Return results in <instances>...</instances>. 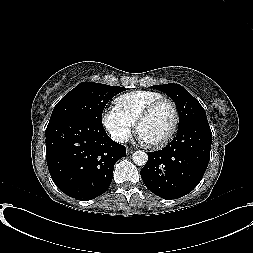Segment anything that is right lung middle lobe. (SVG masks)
Here are the masks:
<instances>
[{
	"mask_svg": "<svg viewBox=\"0 0 253 253\" xmlns=\"http://www.w3.org/2000/svg\"><path fill=\"white\" fill-rule=\"evenodd\" d=\"M126 88L101 83L82 82L66 94L54 107L51 118L77 116L102 124V112L107 102Z\"/></svg>",
	"mask_w": 253,
	"mask_h": 253,
	"instance_id": "right-lung-middle-lobe-1",
	"label": "right lung middle lobe"
}]
</instances>
